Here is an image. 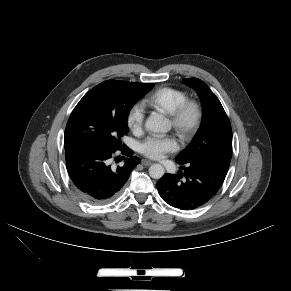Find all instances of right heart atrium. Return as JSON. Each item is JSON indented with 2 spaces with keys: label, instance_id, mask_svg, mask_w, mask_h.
<instances>
[{
  "label": "right heart atrium",
  "instance_id": "obj_1",
  "mask_svg": "<svg viewBox=\"0 0 291 291\" xmlns=\"http://www.w3.org/2000/svg\"><path fill=\"white\" fill-rule=\"evenodd\" d=\"M145 113L140 104H134L126 116V123L133 132H140L144 126Z\"/></svg>",
  "mask_w": 291,
  "mask_h": 291
}]
</instances>
